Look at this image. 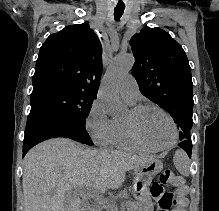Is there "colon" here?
<instances>
[{"instance_id": "5ec220e1", "label": "colon", "mask_w": 219, "mask_h": 211, "mask_svg": "<svg viewBox=\"0 0 219 211\" xmlns=\"http://www.w3.org/2000/svg\"><path fill=\"white\" fill-rule=\"evenodd\" d=\"M159 182L164 186L172 187L175 191V195L172 199V205L174 206L173 211L185 209L188 191L183 177L171 169H165L159 176Z\"/></svg>"}]
</instances>
